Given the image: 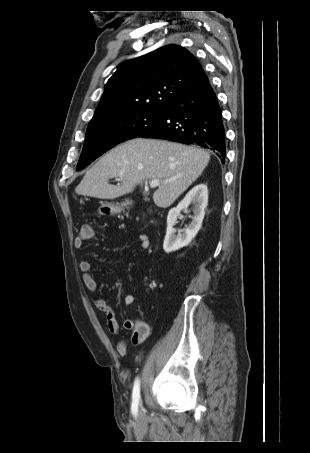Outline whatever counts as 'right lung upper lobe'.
<instances>
[{
  "label": "right lung upper lobe",
  "instance_id": "cb5924a9",
  "mask_svg": "<svg viewBox=\"0 0 310 453\" xmlns=\"http://www.w3.org/2000/svg\"><path fill=\"white\" fill-rule=\"evenodd\" d=\"M205 75L198 60L177 45L126 61L106 83L91 121L122 112L164 110Z\"/></svg>",
  "mask_w": 310,
  "mask_h": 453
}]
</instances>
